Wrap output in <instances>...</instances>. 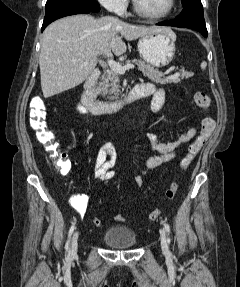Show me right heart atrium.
Wrapping results in <instances>:
<instances>
[{"mask_svg":"<svg viewBox=\"0 0 240 287\" xmlns=\"http://www.w3.org/2000/svg\"><path fill=\"white\" fill-rule=\"evenodd\" d=\"M99 2L105 9L116 14H123L128 5V0H99Z\"/></svg>","mask_w":240,"mask_h":287,"instance_id":"1","label":"right heart atrium"}]
</instances>
